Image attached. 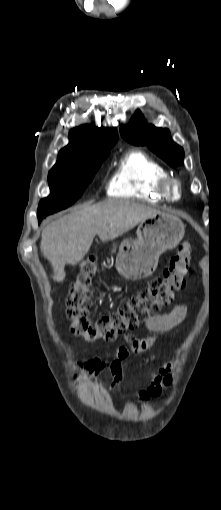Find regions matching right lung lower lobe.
I'll return each mask as SVG.
<instances>
[{"label": "right lung lower lobe", "mask_w": 221, "mask_h": 510, "mask_svg": "<svg viewBox=\"0 0 221 510\" xmlns=\"http://www.w3.org/2000/svg\"><path fill=\"white\" fill-rule=\"evenodd\" d=\"M46 217V216H45ZM45 217H39V220L41 221L42 218H45Z\"/></svg>", "instance_id": "obj_1"}]
</instances>
